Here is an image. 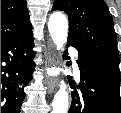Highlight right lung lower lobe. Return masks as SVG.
I'll return each mask as SVG.
<instances>
[{
    "instance_id": "right-lung-lower-lobe-1",
    "label": "right lung lower lobe",
    "mask_w": 121,
    "mask_h": 113,
    "mask_svg": "<svg viewBox=\"0 0 121 113\" xmlns=\"http://www.w3.org/2000/svg\"><path fill=\"white\" fill-rule=\"evenodd\" d=\"M32 30L1 43V113H20L23 88L32 79L35 63Z\"/></svg>"
}]
</instances>
